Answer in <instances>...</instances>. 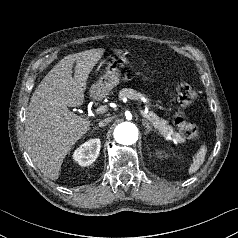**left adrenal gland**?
<instances>
[{"label": "left adrenal gland", "instance_id": "1", "mask_svg": "<svg viewBox=\"0 0 238 238\" xmlns=\"http://www.w3.org/2000/svg\"><path fill=\"white\" fill-rule=\"evenodd\" d=\"M142 124L146 127V134H148L150 131H154L147 120L143 119Z\"/></svg>", "mask_w": 238, "mask_h": 238}]
</instances>
